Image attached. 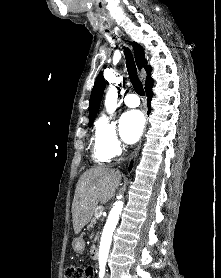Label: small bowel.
<instances>
[{
    "label": "small bowel",
    "instance_id": "obj_1",
    "mask_svg": "<svg viewBox=\"0 0 221 278\" xmlns=\"http://www.w3.org/2000/svg\"><path fill=\"white\" fill-rule=\"evenodd\" d=\"M85 278H94V269L92 267L87 268Z\"/></svg>",
    "mask_w": 221,
    "mask_h": 278
}]
</instances>
